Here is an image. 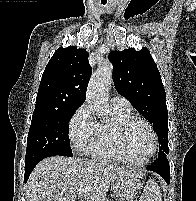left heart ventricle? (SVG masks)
Returning a JSON list of instances; mask_svg holds the SVG:
<instances>
[{
    "instance_id": "obj_1",
    "label": "left heart ventricle",
    "mask_w": 196,
    "mask_h": 201,
    "mask_svg": "<svg viewBox=\"0 0 196 201\" xmlns=\"http://www.w3.org/2000/svg\"><path fill=\"white\" fill-rule=\"evenodd\" d=\"M127 146L132 159L135 161L145 159L152 148L151 133L147 126L135 123L128 131Z\"/></svg>"
}]
</instances>
